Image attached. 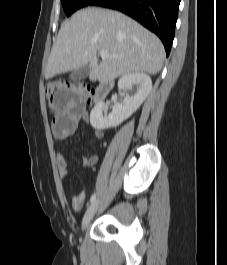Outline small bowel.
Listing matches in <instances>:
<instances>
[{"instance_id": "obj_1", "label": "small bowel", "mask_w": 227, "mask_h": 265, "mask_svg": "<svg viewBox=\"0 0 227 265\" xmlns=\"http://www.w3.org/2000/svg\"><path fill=\"white\" fill-rule=\"evenodd\" d=\"M85 107H87V99L84 97V91H79V87H56L50 102L53 113L52 132L56 139L69 138L77 130L80 121H89V113ZM94 135L97 139H102L104 132L101 129H95ZM97 159L96 155L84 156L82 162L84 166L89 167L95 165ZM56 163L60 179H66L68 176L67 159L59 154ZM84 203V192L81 191L72 196V207L76 212L82 210Z\"/></svg>"}]
</instances>
